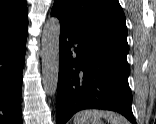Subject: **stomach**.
<instances>
[{
    "instance_id": "stomach-1",
    "label": "stomach",
    "mask_w": 156,
    "mask_h": 124,
    "mask_svg": "<svg viewBox=\"0 0 156 124\" xmlns=\"http://www.w3.org/2000/svg\"><path fill=\"white\" fill-rule=\"evenodd\" d=\"M90 124H103L100 119H95L90 122Z\"/></svg>"
}]
</instances>
